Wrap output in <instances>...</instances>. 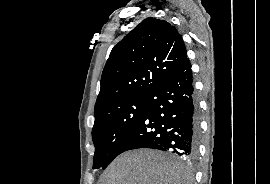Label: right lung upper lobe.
Masks as SVG:
<instances>
[{
    "label": "right lung upper lobe",
    "instance_id": "1",
    "mask_svg": "<svg viewBox=\"0 0 270 184\" xmlns=\"http://www.w3.org/2000/svg\"><path fill=\"white\" fill-rule=\"evenodd\" d=\"M187 59L184 41L174 26L165 20L144 19L110 53L95 120L126 100L147 96Z\"/></svg>",
    "mask_w": 270,
    "mask_h": 184
}]
</instances>
